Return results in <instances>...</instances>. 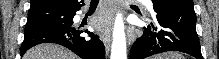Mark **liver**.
I'll list each match as a JSON object with an SVG mask.
<instances>
[{"mask_svg": "<svg viewBox=\"0 0 219 59\" xmlns=\"http://www.w3.org/2000/svg\"><path fill=\"white\" fill-rule=\"evenodd\" d=\"M22 59H79L68 49L55 44H40L29 49Z\"/></svg>", "mask_w": 219, "mask_h": 59, "instance_id": "1", "label": "liver"}]
</instances>
